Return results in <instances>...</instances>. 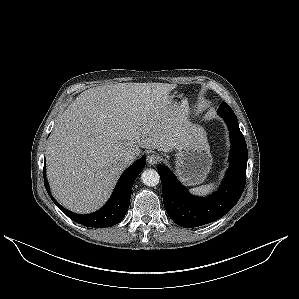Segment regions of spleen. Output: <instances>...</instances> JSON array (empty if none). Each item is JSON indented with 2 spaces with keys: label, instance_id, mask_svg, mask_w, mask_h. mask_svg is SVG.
<instances>
[{
  "label": "spleen",
  "instance_id": "obj_1",
  "mask_svg": "<svg viewBox=\"0 0 299 299\" xmlns=\"http://www.w3.org/2000/svg\"><path fill=\"white\" fill-rule=\"evenodd\" d=\"M216 184L215 182L206 184V185H201L195 188H192L190 190L191 193L196 194V195H203L206 196L210 194L213 190H215Z\"/></svg>",
  "mask_w": 299,
  "mask_h": 299
}]
</instances>
